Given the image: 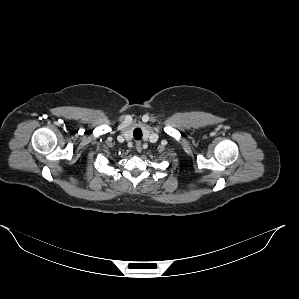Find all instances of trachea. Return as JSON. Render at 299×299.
I'll list each match as a JSON object with an SVG mask.
<instances>
[{"label":"trachea","mask_w":299,"mask_h":299,"mask_svg":"<svg viewBox=\"0 0 299 299\" xmlns=\"http://www.w3.org/2000/svg\"><path fill=\"white\" fill-rule=\"evenodd\" d=\"M142 130L140 128H136L133 132V136L135 140H140L142 138Z\"/></svg>","instance_id":"obj_1"}]
</instances>
